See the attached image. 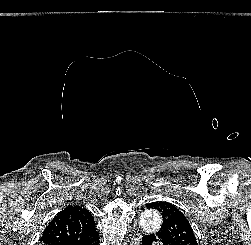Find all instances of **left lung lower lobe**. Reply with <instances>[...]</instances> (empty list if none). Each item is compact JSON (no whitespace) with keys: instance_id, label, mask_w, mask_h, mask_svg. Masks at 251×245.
Listing matches in <instances>:
<instances>
[{"instance_id":"left-lung-lower-lobe-1","label":"left lung lower lobe","mask_w":251,"mask_h":245,"mask_svg":"<svg viewBox=\"0 0 251 245\" xmlns=\"http://www.w3.org/2000/svg\"><path fill=\"white\" fill-rule=\"evenodd\" d=\"M153 242H158L159 245H178L167 234L155 233L145 235L142 240L143 245H152Z\"/></svg>"}]
</instances>
